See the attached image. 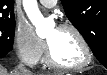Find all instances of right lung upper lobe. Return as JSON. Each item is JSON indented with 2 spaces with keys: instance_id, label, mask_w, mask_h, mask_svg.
<instances>
[{
  "instance_id": "cb5924a9",
  "label": "right lung upper lobe",
  "mask_w": 107,
  "mask_h": 75,
  "mask_svg": "<svg viewBox=\"0 0 107 75\" xmlns=\"http://www.w3.org/2000/svg\"><path fill=\"white\" fill-rule=\"evenodd\" d=\"M14 18V0H0V19Z\"/></svg>"
}]
</instances>
